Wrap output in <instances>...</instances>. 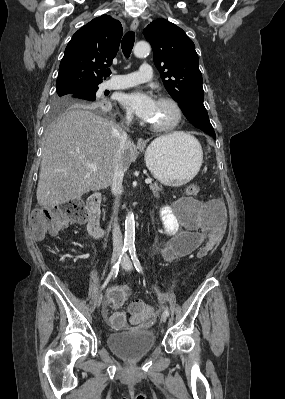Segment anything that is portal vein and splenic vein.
<instances>
[{
    "label": "portal vein and splenic vein",
    "mask_w": 285,
    "mask_h": 399,
    "mask_svg": "<svg viewBox=\"0 0 285 399\" xmlns=\"http://www.w3.org/2000/svg\"><path fill=\"white\" fill-rule=\"evenodd\" d=\"M86 166L91 170V171H93V172H95V171H97L98 170V167L96 166V165H93V164H86ZM145 183L146 184H150L151 183V179H146L145 180Z\"/></svg>",
    "instance_id": "obj_1"
}]
</instances>
